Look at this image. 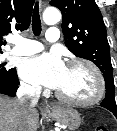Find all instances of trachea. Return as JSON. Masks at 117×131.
<instances>
[{
	"instance_id": "1",
	"label": "trachea",
	"mask_w": 117,
	"mask_h": 131,
	"mask_svg": "<svg viewBox=\"0 0 117 131\" xmlns=\"http://www.w3.org/2000/svg\"><path fill=\"white\" fill-rule=\"evenodd\" d=\"M32 30L35 36L40 35L42 27H41V19L39 14V4L36 3L34 10H33V16H32Z\"/></svg>"
}]
</instances>
